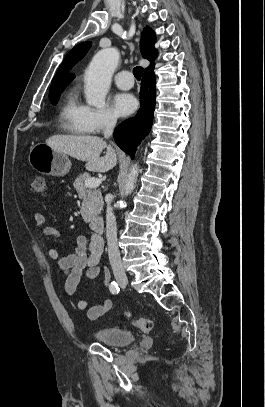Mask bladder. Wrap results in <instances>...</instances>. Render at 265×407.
<instances>
[{"mask_svg": "<svg viewBox=\"0 0 265 407\" xmlns=\"http://www.w3.org/2000/svg\"><path fill=\"white\" fill-rule=\"evenodd\" d=\"M93 335L98 342L109 346H124L134 341L132 331L119 327L101 328L94 331Z\"/></svg>", "mask_w": 265, "mask_h": 407, "instance_id": "bladder-1", "label": "bladder"}]
</instances>
